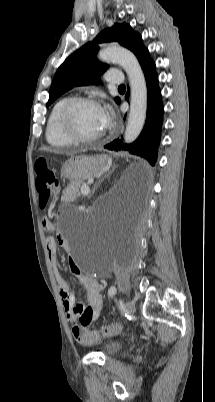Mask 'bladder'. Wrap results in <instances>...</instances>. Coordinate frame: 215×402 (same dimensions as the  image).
Here are the masks:
<instances>
[{
  "label": "bladder",
  "mask_w": 215,
  "mask_h": 402,
  "mask_svg": "<svg viewBox=\"0 0 215 402\" xmlns=\"http://www.w3.org/2000/svg\"><path fill=\"white\" fill-rule=\"evenodd\" d=\"M123 344L120 341L114 340L109 341L103 346V353L107 356L116 354L121 348Z\"/></svg>",
  "instance_id": "bladder-1"
}]
</instances>
